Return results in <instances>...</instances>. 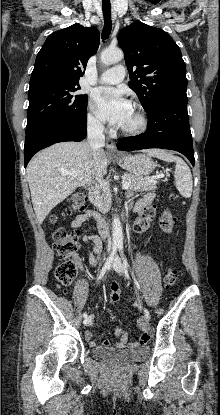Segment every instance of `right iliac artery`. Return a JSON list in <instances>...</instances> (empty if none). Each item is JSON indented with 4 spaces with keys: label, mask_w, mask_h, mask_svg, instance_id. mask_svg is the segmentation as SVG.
I'll list each match as a JSON object with an SVG mask.
<instances>
[{
    "label": "right iliac artery",
    "mask_w": 220,
    "mask_h": 415,
    "mask_svg": "<svg viewBox=\"0 0 220 415\" xmlns=\"http://www.w3.org/2000/svg\"><path fill=\"white\" fill-rule=\"evenodd\" d=\"M117 249H118V245H114L113 248H112V252H111L109 258L107 259L105 265L103 266V268H102V270H101V272H100V274L98 276V282L103 278V276L106 273V271L111 267V264L113 262V259H114L115 254L117 252ZM87 316L88 315H87L86 312L83 313V317L84 318H87Z\"/></svg>",
    "instance_id": "82829eb1"
}]
</instances>
